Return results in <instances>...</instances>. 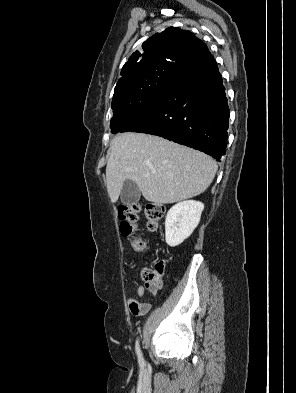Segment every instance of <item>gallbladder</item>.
Masks as SVG:
<instances>
[{
  "mask_svg": "<svg viewBox=\"0 0 296 393\" xmlns=\"http://www.w3.org/2000/svg\"><path fill=\"white\" fill-rule=\"evenodd\" d=\"M140 189L132 180H126L121 190V202L126 206L136 204L140 199Z\"/></svg>",
  "mask_w": 296,
  "mask_h": 393,
  "instance_id": "gallbladder-1",
  "label": "gallbladder"
}]
</instances>
